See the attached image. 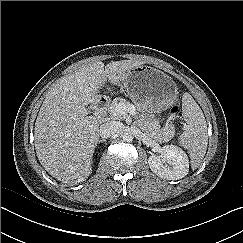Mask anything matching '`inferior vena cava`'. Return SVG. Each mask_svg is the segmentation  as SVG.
<instances>
[{
    "mask_svg": "<svg viewBox=\"0 0 243 243\" xmlns=\"http://www.w3.org/2000/svg\"><path fill=\"white\" fill-rule=\"evenodd\" d=\"M122 131V123L119 121H109L102 124L99 128V135L103 139L114 137Z\"/></svg>",
    "mask_w": 243,
    "mask_h": 243,
    "instance_id": "602c4592",
    "label": "inferior vena cava"
}]
</instances>
